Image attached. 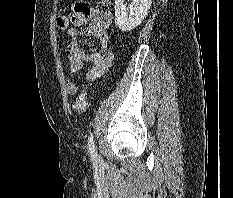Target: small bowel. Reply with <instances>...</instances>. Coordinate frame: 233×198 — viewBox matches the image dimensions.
Instances as JSON below:
<instances>
[{
  "instance_id": "small-bowel-1",
  "label": "small bowel",
  "mask_w": 233,
  "mask_h": 198,
  "mask_svg": "<svg viewBox=\"0 0 233 198\" xmlns=\"http://www.w3.org/2000/svg\"><path fill=\"white\" fill-rule=\"evenodd\" d=\"M70 21L73 27L68 28L67 32L71 41L65 49L70 75L72 77L79 75L84 67L89 65L85 71V76L89 81H94L100 78L113 62L114 56L108 48L107 34V29L112 23V13L96 10L85 2H77L70 14ZM85 25H88L85 31L78 30V27ZM87 37L98 39L99 51L88 54L80 47L82 40ZM66 89L69 95H75L79 89V84L69 79Z\"/></svg>"
}]
</instances>
